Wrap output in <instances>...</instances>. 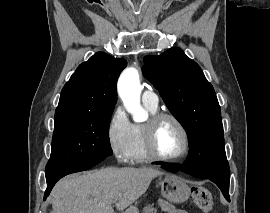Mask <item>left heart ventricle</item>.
Instances as JSON below:
<instances>
[{
    "label": "left heart ventricle",
    "mask_w": 270,
    "mask_h": 213,
    "mask_svg": "<svg viewBox=\"0 0 270 213\" xmlns=\"http://www.w3.org/2000/svg\"><path fill=\"white\" fill-rule=\"evenodd\" d=\"M155 146L164 156H176L182 152L183 135L173 121L165 119L159 124L155 134Z\"/></svg>",
    "instance_id": "left-heart-ventricle-1"
}]
</instances>
